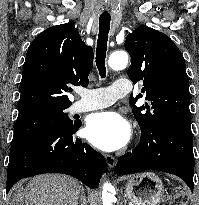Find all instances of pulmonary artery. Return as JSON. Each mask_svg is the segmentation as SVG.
Instances as JSON below:
<instances>
[{"instance_id":"e3ab8cb5","label":"pulmonary artery","mask_w":199,"mask_h":205,"mask_svg":"<svg viewBox=\"0 0 199 205\" xmlns=\"http://www.w3.org/2000/svg\"><path fill=\"white\" fill-rule=\"evenodd\" d=\"M131 88L128 80L120 78L107 87L81 90L78 92L81 99L73 103L70 110L72 113H82L110 106L126 96Z\"/></svg>"}]
</instances>
